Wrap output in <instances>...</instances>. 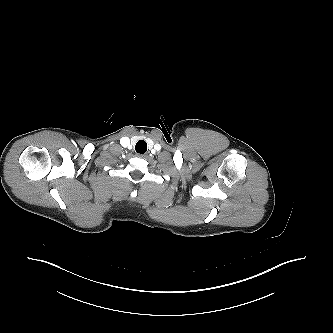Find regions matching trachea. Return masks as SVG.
Instances as JSON below:
<instances>
[{
  "label": "trachea",
  "mask_w": 333,
  "mask_h": 333,
  "mask_svg": "<svg viewBox=\"0 0 333 333\" xmlns=\"http://www.w3.org/2000/svg\"><path fill=\"white\" fill-rule=\"evenodd\" d=\"M135 150L139 154H144L147 151V143L144 140H139L135 146Z\"/></svg>",
  "instance_id": "trachea-1"
}]
</instances>
